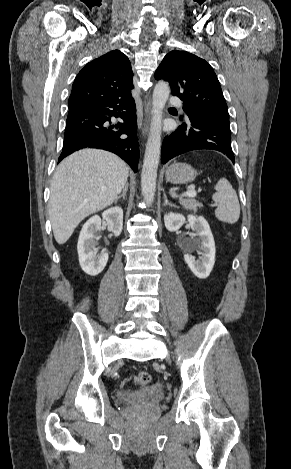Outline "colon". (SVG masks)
Masks as SVG:
<instances>
[{
  "mask_svg": "<svg viewBox=\"0 0 291 469\" xmlns=\"http://www.w3.org/2000/svg\"><path fill=\"white\" fill-rule=\"evenodd\" d=\"M152 380L151 375L147 371H140L134 377V382L138 386H146Z\"/></svg>",
  "mask_w": 291,
  "mask_h": 469,
  "instance_id": "obj_1",
  "label": "colon"
}]
</instances>
